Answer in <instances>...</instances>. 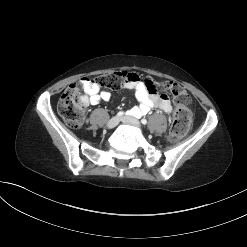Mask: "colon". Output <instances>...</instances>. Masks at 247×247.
<instances>
[{"label":"colon","instance_id":"obj_1","mask_svg":"<svg viewBox=\"0 0 247 247\" xmlns=\"http://www.w3.org/2000/svg\"><path fill=\"white\" fill-rule=\"evenodd\" d=\"M128 72H113L101 75L94 81L99 87L108 89L121 88L129 78ZM161 90L172 94L176 104V111L169 131L170 141H178L183 138L191 124V113L187 105L190 96L187 91L178 83L173 81H163L158 86ZM82 84L75 83L70 85L59 99L57 110L64 122L71 128H80L84 123V113L86 98L81 93ZM156 86L154 89L156 90Z\"/></svg>","mask_w":247,"mask_h":247}]
</instances>
